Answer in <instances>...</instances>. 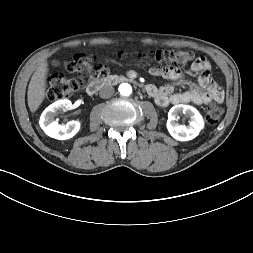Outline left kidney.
Here are the masks:
<instances>
[{"instance_id": "left-kidney-1", "label": "left kidney", "mask_w": 253, "mask_h": 253, "mask_svg": "<svg viewBox=\"0 0 253 253\" xmlns=\"http://www.w3.org/2000/svg\"><path fill=\"white\" fill-rule=\"evenodd\" d=\"M181 114L186 115L189 125H180L177 120ZM204 128L203 117L199 111L190 105H175L168 113L167 129L170 135L178 141H189L197 137Z\"/></svg>"}]
</instances>
